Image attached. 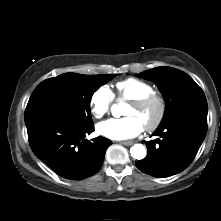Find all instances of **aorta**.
I'll return each mask as SVG.
<instances>
[{
	"label": "aorta",
	"instance_id": "762f6f07",
	"mask_svg": "<svg viewBox=\"0 0 221 221\" xmlns=\"http://www.w3.org/2000/svg\"><path fill=\"white\" fill-rule=\"evenodd\" d=\"M117 110H119V106L113 105L112 106V113L114 114L115 111H117ZM130 153L134 159L142 160L146 156V149L142 144H135L134 146L131 147Z\"/></svg>",
	"mask_w": 221,
	"mask_h": 221
}]
</instances>
